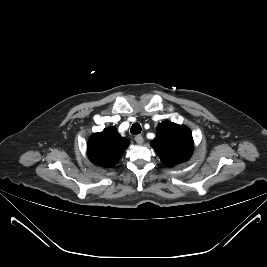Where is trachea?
<instances>
[{"instance_id": "1", "label": "trachea", "mask_w": 267, "mask_h": 267, "mask_svg": "<svg viewBox=\"0 0 267 267\" xmlns=\"http://www.w3.org/2000/svg\"><path fill=\"white\" fill-rule=\"evenodd\" d=\"M131 134H140L141 132V126L139 123H134L130 129Z\"/></svg>"}]
</instances>
